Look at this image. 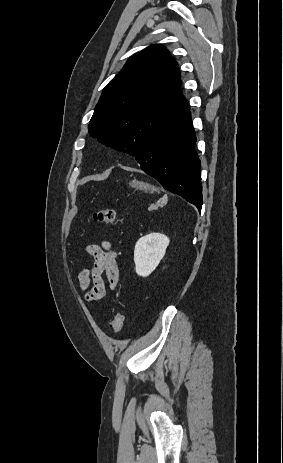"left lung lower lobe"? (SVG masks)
<instances>
[{
    "label": "left lung lower lobe",
    "instance_id": "left-lung-lower-lobe-1",
    "mask_svg": "<svg viewBox=\"0 0 283 463\" xmlns=\"http://www.w3.org/2000/svg\"><path fill=\"white\" fill-rule=\"evenodd\" d=\"M189 105L157 130L135 155L141 169L161 185L202 207L200 160Z\"/></svg>",
    "mask_w": 283,
    "mask_h": 463
}]
</instances>
